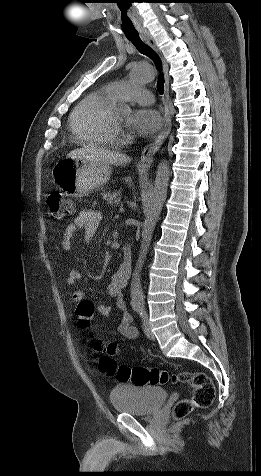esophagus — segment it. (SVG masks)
Returning a JSON list of instances; mask_svg holds the SVG:
<instances>
[{
  "instance_id": "esophagus-1",
  "label": "esophagus",
  "mask_w": 261,
  "mask_h": 476,
  "mask_svg": "<svg viewBox=\"0 0 261 476\" xmlns=\"http://www.w3.org/2000/svg\"><path fill=\"white\" fill-rule=\"evenodd\" d=\"M142 40L150 46L155 52L158 53V55L161 57L162 60V66H163V73H164V79H165V85H164V125L163 128L161 129L160 133L156 136V138L146 145L142 151L141 159H140V164L143 166H149L154 159L155 153L159 150L161 145L163 144L164 140L167 138L168 134L171 131V115L169 111V74H168V64L165 61V59L162 57L159 49L156 46L155 40L149 33H145L141 35Z\"/></svg>"
}]
</instances>
